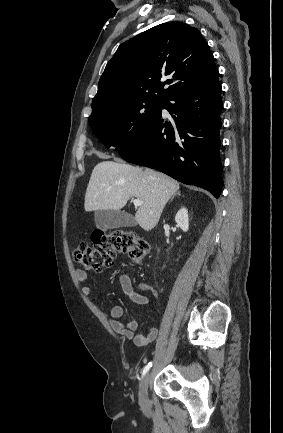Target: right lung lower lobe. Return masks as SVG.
Wrapping results in <instances>:
<instances>
[{
    "label": "right lung lower lobe",
    "mask_w": 283,
    "mask_h": 433,
    "mask_svg": "<svg viewBox=\"0 0 283 433\" xmlns=\"http://www.w3.org/2000/svg\"><path fill=\"white\" fill-rule=\"evenodd\" d=\"M219 75L202 86L175 94L137 140L120 155L128 162L159 170L189 185L200 186L218 198L222 188L220 112L223 107Z\"/></svg>",
    "instance_id": "98d812e1"
}]
</instances>
